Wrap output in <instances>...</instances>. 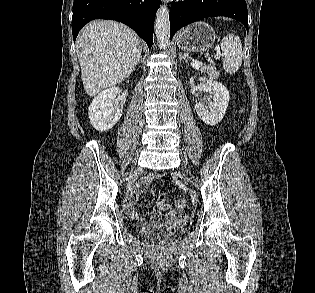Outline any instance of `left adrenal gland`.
Returning a JSON list of instances; mask_svg holds the SVG:
<instances>
[{
    "label": "left adrenal gland",
    "instance_id": "1",
    "mask_svg": "<svg viewBox=\"0 0 315 293\" xmlns=\"http://www.w3.org/2000/svg\"><path fill=\"white\" fill-rule=\"evenodd\" d=\"M179 59H180V61L185 60V61H186V63H188V60L186 59V57H185V56H183V55H182V53H181V52H179Z\"/></svg>",
    "mask_w": 315,
    "mask_h": 293
}]
</instances>
